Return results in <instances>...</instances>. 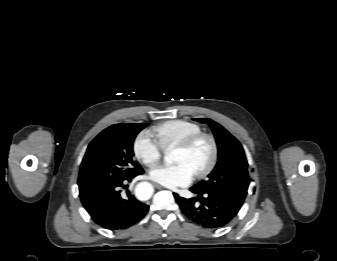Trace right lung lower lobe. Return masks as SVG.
I'll return each mask as SVG.
<instances>
[{"label":"right lung lower lobe","instance_id":"obj_1","mask_svg":"<svg viewBox=\"0 0 337 261\" xmlns=\"http://www.w3.org/2000/svg\"><path fill=\"white\" fill-rule=\"evenodd\" d=\"M143 173L129 176L116 184L105 186L92 191L81 198L84 208L99 226L119 230L126 229L145 216L149 206L141 203L129 191L127 198L121 196V188H126L134 177Z\"/></svg>","mask_w":337,"mask_h":261}]
</instances>
